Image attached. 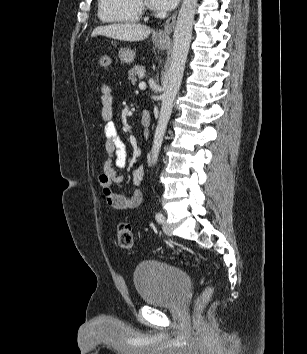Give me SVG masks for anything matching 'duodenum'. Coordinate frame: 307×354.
Here are the masks:
<instances>
[{"mask_svg": "<svg viewBox=\"0 0 307 354\" xmlns=\"http://www.w3.org/2000/svg\"><path fill=\"white\" fill-rule=\"evenodd\" d=\"M151 113L148 110H144L141 115V123L143 126H149L151 123Z\"/></svg>", "mask_w": 307, "mask_h": 354, "instance_id": "duodenum-1", "label": "duodenum"}]
</instances>
